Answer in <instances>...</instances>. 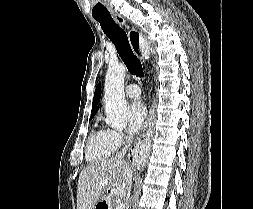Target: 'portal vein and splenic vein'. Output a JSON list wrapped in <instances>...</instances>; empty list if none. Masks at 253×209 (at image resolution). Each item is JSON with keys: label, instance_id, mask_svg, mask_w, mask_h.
<instances>
[{"label": "portal vein and splenic vein", "instance_id": "1", "mask_svg": "<svg viewBox=\"0 0 253 209\" xmlns=\"http://www.w3.org/2000/svg\"><path fill=\"white\" fill-rule=\"evenodd\" d=\"M121 189L119 187H116L115 188V191L116 192H119ZM125 208V205L124 204H118L117 208L116 209H124Z\"/></svg>", "mask_w": 253, "mask_h": 209}]
</instances>
